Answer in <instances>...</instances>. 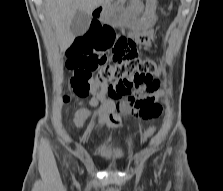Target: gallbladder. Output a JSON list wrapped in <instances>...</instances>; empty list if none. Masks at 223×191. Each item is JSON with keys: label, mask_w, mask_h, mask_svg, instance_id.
Segmentation results:
<instances>
[{"label": "gallbladder", "mask_w": 223, "mask_h": 191, "mask_svg": "<svg viewBox=\"0 0 223 191\" xmlns=\"http://www.w3.org/2000/svg\"><path fill=\"white\" fill-rule=\"evenodd\" d=\"M91 17L84 11H78L72 19L70 31L74 36L83 35L89 28Z\"/></svg>", "instance_id": "obj_1"}]
</instances>
